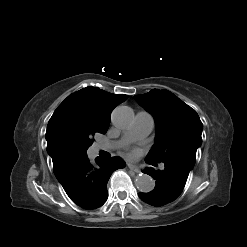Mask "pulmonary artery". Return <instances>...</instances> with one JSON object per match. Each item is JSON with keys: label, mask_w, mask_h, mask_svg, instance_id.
Segmentation results:
<instances>
[{"label": "pulmonary artery", "mask_w": 247, "mask_h": 247, "mask_svg": "<svg viewBox=\"0 0 247 247\" xmlns=\"http://www.w3.org/2000/svg\"><path fill=\"white\" fill-rule=\"evenodd\" d=\"M154 127V118L153 116L146 111L137 112L134 123L132 126L124 133L122 138L118 141L113 142L108 146H101V149L116 148L126 145L134 140L145 138L150 134ZM161 169H164V165L160 166Z\"/></svg>", "instance_id": "1"}]
</instances>
